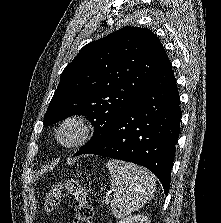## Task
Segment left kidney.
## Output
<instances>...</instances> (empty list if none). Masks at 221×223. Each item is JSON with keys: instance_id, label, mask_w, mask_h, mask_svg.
Instances as JSON below:
<instances>
[{"instance_id": "1", "label": "left kidney", "mask_w": 221, "mask_h": 223, "mask_svg": "<svg viewBox=\"0 0 221 223\" xmlns=\"http://www.w3.org/2000/svg\"><path fill=\"white\" fill-rule=\"evenodd\" d=\"M118 223H148V218L144 215H134L124 218Z\"/></svg>"}]
</instances>
